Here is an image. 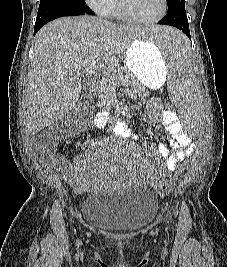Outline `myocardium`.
Returning <instances> with one entry per match:
<instances>
[{"label":"myocardium","instance_id":"myocardium-1","mask_svg":"<svg viewBox=\"0 0 227 267\" xmlns=\"http://www.w3.org/2000/svg\"><path fill=\"white\" fill-rule=\"evenodd\" d=\"M162 6H161V11L160 13L152 18V19H141L136 16H134L127 8L125 0H117V9L120 14L125 20L132 22V23H137V24H153L159 22L167 12L168 8V2L167 0H161Z\"/></svg>","mask_w":227,"mask_h":267}]
</instances>
